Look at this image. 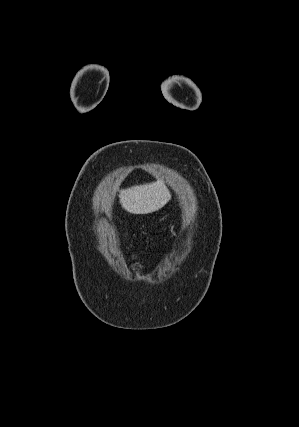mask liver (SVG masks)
Segmentation results:
<instances>
[{
    "instance_id": "obj_1",
    "label": "liver",
    "mask_w": 299,
    "mask_h": 427,
    "mask_svg": "<svg viewBox=\"0 0 299 427\" xmlns=\"http://www.w3.org/2000/svg\"><path fill=\"white\" fill-rule=\"evenodd\" d=\"M171 199V195L162 180L137 185L120 191L122 207L132 214H150L161 209Z\"/></svg>"
}]
</instances>
